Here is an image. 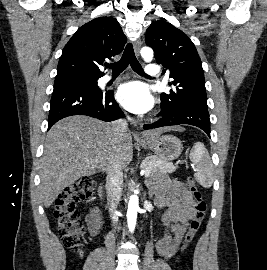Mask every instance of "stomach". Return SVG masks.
<instances>
[{"instance_id":"1","label":"stomach","mask_w":267,"mask_h":270,"mask_svg":"<svg viewBox=\"0 0 267 270\" xmlns=\"http://www.w3.org/2000/svg\"><path fill=\"white\" fill-rule=\"evenodd\" d=\"M143 144L150 148L155 155L163 160H174L178 158L183 151V144L179 138L174 135L165 134L156 138H147L142 140Z\"/></svg>"}]
</instances>
